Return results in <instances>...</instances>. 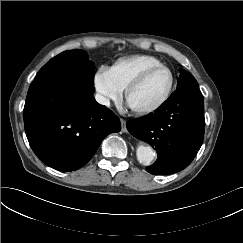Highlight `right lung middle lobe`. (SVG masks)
<instances>
[{"label": "right lung middle lobe", "instance_id": "1", "mask_svg": "<svg viewBox=\"0 0 243 243\" xmlns=\"http://www.w3.org/2000/svg\"><path fill=\"white\" fill-rule=\"evenodd\" d=\"M94 64L81 50L65 51L46 63L35 78L73 80L86 84L94 81Z\"/></svg>", "mask_w": 243, "mask_h": 243}]
</instances>
